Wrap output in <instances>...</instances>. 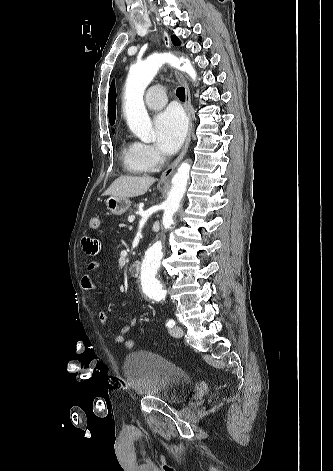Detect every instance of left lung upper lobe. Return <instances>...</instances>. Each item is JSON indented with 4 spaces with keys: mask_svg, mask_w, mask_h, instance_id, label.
<instances>
[{
    "mask_svg": "<svg viewBox=\"0 0 333 471\" xmlns=\"http://www.w3.org/2000/svg\"><path fill=\"white\" fill-rule=\"evenodd\" d=\"M171 40H172V43L174 45H179L180 44L179 39L176 36H172Z\"/></svg>",
    "mask_w": 333,
    "mask_h": 471,
    "instance_id": "left-lung-upper-lobe-1",
    "label": "left lung upper lobe"
}]
</instances>
